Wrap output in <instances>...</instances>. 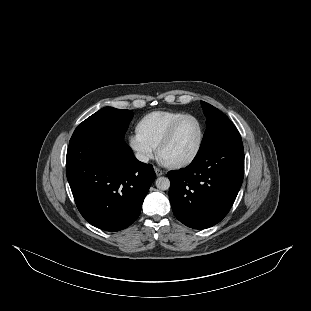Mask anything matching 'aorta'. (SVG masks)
<instances>
[{
  "label": "aorta",
  "mask_w": 311,
  "mask_h": 311,
  "mask_svg": "<svg viewBox=\"0 0 311 311\" xmlns=\"http://www.w3.org/2000/svg\"><path fill=\"white\" fill-rule=\"evenodd\" d=\"M155 185L160 190H168L170 188V180L167 177H158Z\"/></svg>",
  "instance_id": "obj_1"
}]
</instances>
